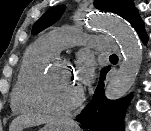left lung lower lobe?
I'll use <instances>...</instances> for the list:
<instances>
[{
	"label": "left lung lower lobe",
	"mask_w": 151,
	"mask_h": 131,
	"mask_svg": "<svg viewBox=\"0 0 151 131\" xmlns=\"http://www.w3.org/2000/svg\"><path fill=\"white\" fill-rule=\"evenodd\" d=\"M131 25L136 30L144 43L147 36L144 24L137 14L131 21ZM106 67L100 75L99 84L94 92L90 103L76 116L80 127L89 131H124L123 115L129 104L131 96L119 100H108L104 96V80L109 71Z\"/></svg>",
	"instance_id": "0a47b994"
}]
</instances>
